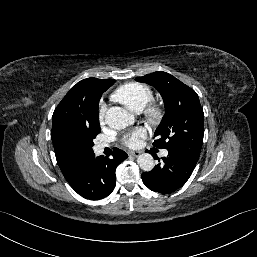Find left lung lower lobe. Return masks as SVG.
<instances>
[{
    "label": "left lung lower lobe",
    "mask_w": 257,
    "mask_h": 257,
    "mask_svg": "<svg viewBox=\"0 0 257 257\" xmlns=\"http://www.w3.org/2000/svg\"><path fill=\"white\" fill-rule=\"evenodd\" d=\"M163 163L153 170L142 173L144 184L152 191L168 194L182 187L191 176L198 161L184 152L168 150Z\"/></svg>",
    "instance_id": "0a47b994"
}]
</instances>
